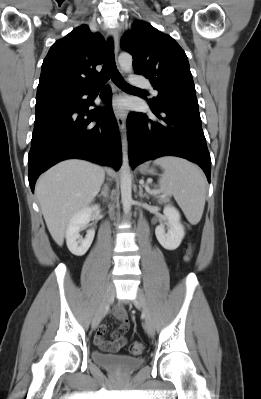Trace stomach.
<instances>
[{
    "label": "stomach",
    "instance_id": "0dacf381",
    "mask_svg": "<svg viewBox=\"0 0 261 399\" xmlns=\"http://www.w3.org/2000/svg\"><path fill=\"white\" fill-rule=\"evenodd\" d=\"M142 172H147V173L153 174V173H154V169H153V168H148V167L146 166V167H143V168H142Z\"/></svg>",
    "mask_w": 261,
    "mask_h": 399
}]
</instances>
